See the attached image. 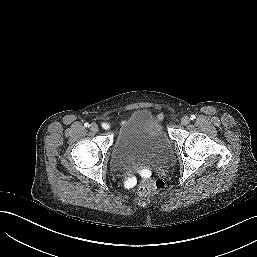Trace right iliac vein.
Returning a JSON list of instances; mask_svg holds the SVG:
<instances>
[{
	"mask_svg": "<svg viewBox=\"0 0 257 257\" xmlns=\"http://www.w3.org/2000/svg\"><path fill=\"white\" fill-rule=\"evenodd\" d=\"M90 130H91L92 132H97V131L99 130L98 125H97L96 123H92V124L90 125Z\"/></svg>",
	"mask_w": 257,
	"mask_h": 257,
	"instance_id": "obj_1",
	"label": "right iliac vein"
}]
</instances>
